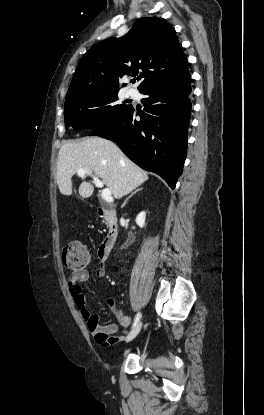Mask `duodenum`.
<instances>
[{"mask_svg":"<svg viewBox=\"0 0 264 415\" xmlns=\"http://www.w3.org/2000/svg\"><path fill=\"white\" fill-rule=\"evenodd\" d=\"M98 215L105 221L108 227L107 235L104 237L98 255L101 261H106L117 241L119 223L117 211L109 205H103L97 210Z\"/></svg>","mask_w":264,"mask_h":415,"instance_id":"1","label":"duodenum"}]
</instances>
